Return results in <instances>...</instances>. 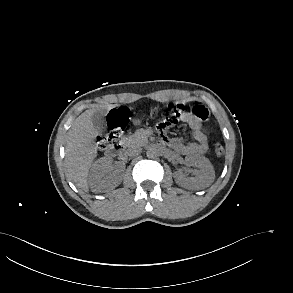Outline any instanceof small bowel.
<instances>
[{
  "mask_svg": "<svg viewBox=\"0 0 293 293\" xmlns=\"http://www.w3.org/2000/svg\"><path fill=\"white\" fill-rule=\"evenodd\" d=\"M180 121L189 124L192 129V136L194 141L188 144H183L180 139L173 138L164 140L177 153L183 155L203 154L208 149L207 133L202 127V121L191 113H184L179 118Z\"/></svg>",
  "mask_w": 293,
  "mask_h": 293,
  "instance_id": "1",
  "label": "small bowel"
}]
</instances>
